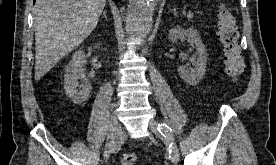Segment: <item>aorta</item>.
Returning a JSON list of instances; mask_svg holds the SVG:
<instances>
[{"instance_id": "1", "label": "aorta", "mask_w": 276, "mask_h": 165, "mask_svg": "<svg viewBox=\"0 0 276 165\" xmlns=\"http://www.w3.org/2000/svg\"><path fill=\"white\" fill-rule=\"evenodd\" d=\"M159 0H129L126 27L128 32L145 38L152 28L154 9Z\"/></svg>"}]
</instances>
